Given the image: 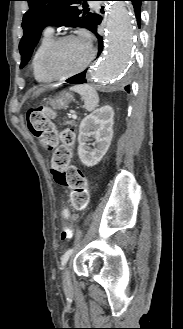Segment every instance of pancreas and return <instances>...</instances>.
I'll use <instances>...</instances> for the list:
<instances>
[{"mask_svg": "<svg viewBox=\"0 0 183 329\" xmlns=\"http://www.w3.org/2000/svg\"><path fill=\"white\" fill-rule=\"evenodd\" d=\"M65 124L69 125V126H75L76 125L75 121H66Z\"/></svg>", "mask_w": 183, "mask_h": 329, "instance_id": "cf45deb5", "label": "pancreas"}]
</instances>
